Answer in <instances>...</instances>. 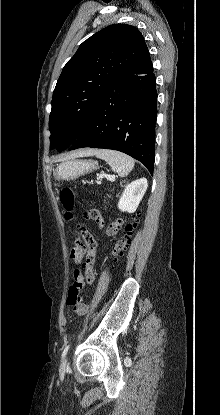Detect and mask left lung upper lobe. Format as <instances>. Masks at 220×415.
<instances>
[{
	"label": "left lung upper lobe",
	"mask_w": 220,
	"mask_h": 415,
	"mask_svg": "<svg viewBox=\"0 0 220 415\" xmlns=\"http://www.w3.org/2000/svg\"><path fill=\"white\" fill-rule=\"evenodd\" d=\"M150 61L142 34L131 25H110L84 41L64 66L53 92L51 148H68L84 132L113 82Z\"/></svg>",
	"instance_id": "obj_1"
}]
</instances>
